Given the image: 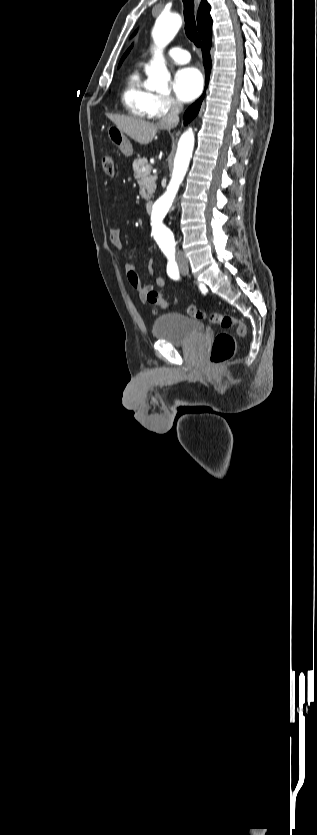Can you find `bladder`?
Listing matches in <instances>:
<instances>
[{
	"instance_id": "31cf9c89",
	"label": "bladder",
	"mask_w": 317,
	"mask_h": 835,
	"mask_svg": "<svg viewBox=\"0 0 317 835\" xmlns=\"http://www.w3.org/2000/svg\"><path fill=\"white\" fill-rule=\"evenodd\" d=\"M204 325L197 319L180 313L158 317L153 324V334L175 346H184L204 336Z\"/></svg>"
}]
</instances>
